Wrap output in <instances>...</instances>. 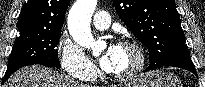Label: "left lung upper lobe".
I'll return each mask as SVG.
<instances>
[{"instance_id":"left-lung-upper-lobe-1","label":"left lung upper lobe","mask_w":205,"mask_h":87,"mask_svg":"<svg viewBox=\"0 0 205 87\" xmlns=\"http://www.w3.org/2000/svg\"><path fill=\"white\" fill-rule=\"evenodd\" d=\"M118 16L149 50L148 69L189 55L174 0H113Z\"/></svg>"}]
</instances>
